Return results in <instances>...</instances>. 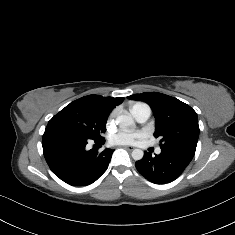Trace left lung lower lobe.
I'll list each match as a JSON object with an SVG mask.
<instances>
[{
  "label": "left lung lower lobe",
  "instance_id": "0a47b994",
  "mask_svg": "<svg viewBox=\"0 0 235 235\" xmlns=\"http://www.w3.org/2000/svg\"><path fill=\"white\" fill-rule=\"evenodd\" d=\"M194 155L177 148H161L159 155L145 152L135 163L138 172L153 183L164 184L179 177Z\"/></svg>",
  "mask_w": 235,
  "mask_h": 235
}]
</instances>
